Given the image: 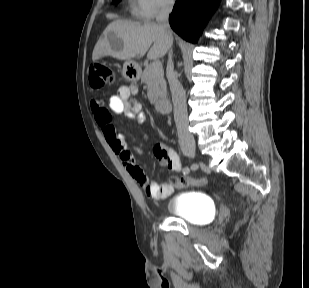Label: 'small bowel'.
Returning a JSON list of instances; mask_svg holds the SVG:
<instances>
[{
    "mask_svg": "<svg viewBox=\"0 0 309 288\" xmlns=\"http://www.w3.org/2000/svg\"><path fill=\"white\" fill-rule=\"evenodd\" d=\"M136 92L137 87L134 85L121 86L117 93L111 96L106 103L101 100H93L91 102V109L96 123L101 128L105 142L117 155L131 178L142 187L147 197L154 200H163L173 193L175 187L169 182L157 183L148 178L134 161L133 153L127 145V135L116 130L111 118L110 111H113L114 113L124 115L128 120L138 123H144L147 120V115L133 99V95ZM155 156L162 165L172 170L177 171L181 167L179 156L173 149L167 146H157Z\"/></svg>",
    "mask_w": 309,
    "mask_h": 288,
    "instance_id": "small-bowel-1",
    "label": "small bowel"
}]
</instances>
